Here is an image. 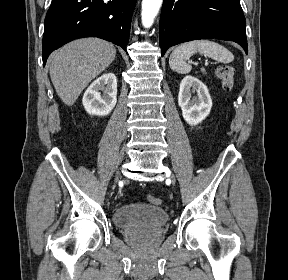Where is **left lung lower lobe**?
<instances>
[{
    "mask_svg": "<svg viewBox=\"0 0 288 280\" xmlns=\"http://www.w3.org/2000/svg\"><path fill=\"white\" fill-rule=\"evenodd\" d=\"M159 28L162 56L171 46L203 38L234 41L248 52L239 0H164Z\"/></svg>",
    "mask_w": 288,
    "mask_h": 280,
    "instance_id": "1",
    "label": "left lung lower lobe"
}]
</instances>
